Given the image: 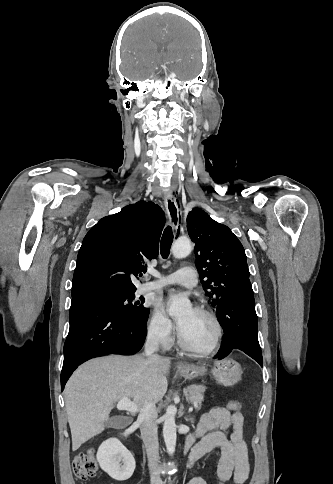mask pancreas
<instances>
[{
    "label": "pancreas",
    "instance_id": "1",
    "mask_svg": "<svg viewBox=\"0 0 333 484\" xmlns=\"http://www.w3.org/2000/svg\"><path fill=\"white\" fill-rule=\"evenodd\" d=\"M205 390L206 387L203 385H191L185 389L184 394L188 402L199 408L204 400Z\"/></svg>",
    "mask_w": 333,
    "mask_h": 484
}]
</instances>
